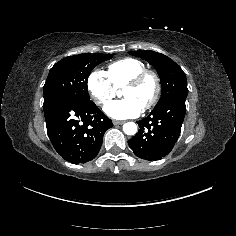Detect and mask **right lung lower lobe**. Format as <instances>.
<instances>
[{
  "instance_id": "1",
  "label": "right lung lower lobe",
  "mask_w": 236,
  "mask_h": 236,
  "mask_svg": "<svg viewBox=\"0 0 236 236\" xmlns=\"http://www.w3.org/2000/svg\"><path fill=\"white\" fill-rule=\"evenodd\" d=\"M47 133L63 159L73 164L93 160L112 121L92 102L56 97L43 104Z\"/></svg>"
}]
</instances>
